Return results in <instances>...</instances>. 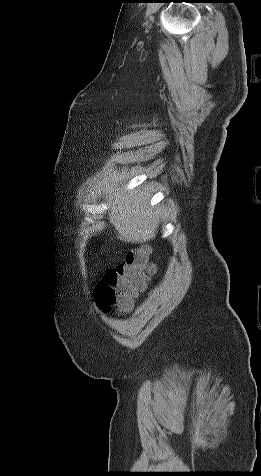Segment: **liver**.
<instances>
[{
    "label": "liver",
    "instance_id": "obj_1",
    "mask_svg": "<svg viewBox=\"0 0 261 476\" xmlns=\"http://www.w3.org/2000/svg\"><path fill=\"white\" fill-rule=\"evenodd\" d=\"M107 197L114 199L109 220L118 231L120 240L142 243L155 238L160 215L148 208L146 192L134 190L121 194L116 186H112Z\"/></svg>",
    "mask_w": 261,
    "mask_h": 476
}]
</instances>
